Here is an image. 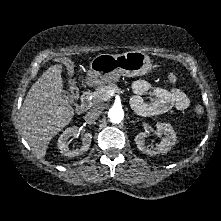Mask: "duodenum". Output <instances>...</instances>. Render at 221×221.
I'll use <instances>...</instances> for the list:
<instances>
[{
    "mask_svg": "<svg viewBox=\"0 0 221 221\" xmlns=\"http://www.w3.org/2000/svg\"><path fill=\"white\" fill-rule=\"evenodd\" d=\"M91 105V92L90 90H86L81 96L80 109L82 112H86L91 108Z\"/></svg>",
    "mask_w": 221,
    "mask_h": 221,
    "instance_id": "1",
    "label": "duodenum"
}]
</instances>
